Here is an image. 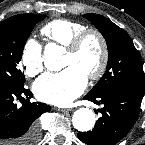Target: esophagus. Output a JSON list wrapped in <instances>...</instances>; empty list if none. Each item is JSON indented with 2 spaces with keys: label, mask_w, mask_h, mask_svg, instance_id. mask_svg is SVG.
<instances>
[{
  "label": "esophagus",
  "mask_w": 145,
  "mask_h": 145,
  "mask_svg": "<svg viewBox=\"0 0 145 145\" xmlns=\"http://www.w3.org/2000/svg\"><path fill=\"white\" fill-rule=\"evenodd\" d=\"M72 109H70V108H67V109H63V108H59L58 109V111H61V112H69V111H71Z\"/></svg>",
  "instance_id": "1"
}]
</instances>
